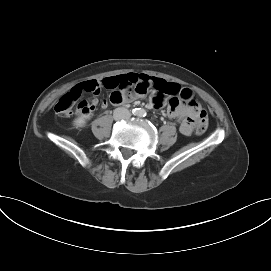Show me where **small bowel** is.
Wrapping results in <instances>:
<instances>
[{
  "label": "small bowel",
  "instance_id": "small-bowel-1",
  "mask_svg": "<svg viewBox=\"0 0 271 271\" xmlns=\"http://www.w3.org/2000/svg\"><path fill=\"white\" fill-rule=\"evenodd\" d=\"M91 84L95 87V93L99 92L101 87L111 89L110 100L115 104L128 103L137 97H146L147 91L156 90L160 95H180L186 94L192 97L189 89H182L178 84L168 82L162 78L151 77L142 73H124L117 76L107 77L102 80H90L79 84L77 87L87 90V86ZM193 98V97H192ZM77 109L78 114H86L98 104V99L94 96L88 103L84 102ZM154 108H160L163 105L161 96L155 97L151 103ZM107 102L102 103V107H106ZM167 115L171 118H177L180 121V132L184 135H190L194 130V118L198 111L202 108L195 101H180L177 97H169L166 100Z\"/></svg>",
  "mask_w": 271,
  "mask_h": 271
}]
</instances>
